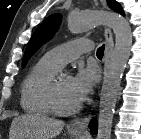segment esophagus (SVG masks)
Segmentation results:
<instances>
[{"instance_id": "esophagus-1", "label": "esophagus", "mask_w": 141, "mask_h": 139, "mask_svg": "<svg viewBox=\"0 0 141 139\" xmlns=\"http://www.w3.org/2000/svg\"><path fill=\"white\" fill-rule=\"evenodd\" d=\"M102 5L106 8L107 3L106 0H100ZM105 39H106V46H105V58H104V70L103 74L105 75L107 72V68L110 62V58L114 48V41L111 29L109 27H105ZM91 115L85 116L82 119L76 120L72 125L71 129L77 132H84L87 130L88 124L90 122Z\"/></svg>"}]
</instances>
